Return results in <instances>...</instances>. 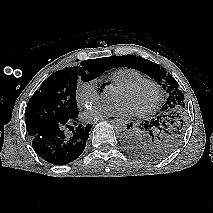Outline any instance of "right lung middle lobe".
Returning <instances> with one entry per match:
<instances>
[{"label": "right lung middle lobe", "mask_w": 213, "mask_h": 213, "mask_svg": "<svg viewBox=\"0 0 213 213\" xmlns=\"http://www.w3.org/2000/svg\"><path fill=\"white\" fill-rule=\"evenodd\" d=\"M110 69L107 62L92 59L79 66L52 74L30 98L26 108V129L29 135L42 126L72 118L78 114L76 89L78 80L90 81Z\"/></svg>", "instance_id": "dd1d6c3e"}]
</instances>
